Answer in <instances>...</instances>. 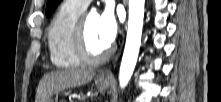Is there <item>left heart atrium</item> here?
<instances>
[{"label":"left heart atrium","mask_w":221,"mask_h":102,"mask_svg":"<svg viewBox=\"0 0 221 102\" xmlns=\"http://www.w3.org/2000/svg\"><path fill=\"white\" fill-rule=\"evenodd\" d=\"M118 31V20L111 7H107L98 16V35L108 46L114 41Z\"/></svg>","instance_id":"1"}]
</instances>
